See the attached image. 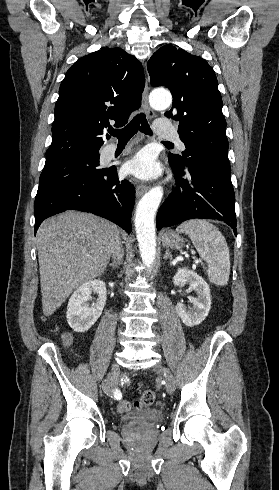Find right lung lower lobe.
Wrapping results in <instances>:
<instances>
[{
  "mask_svg": "<svg viewBox=\"0 0 279 490\" xmlns=\"http://www.w3.org/2000/svg\"><path fill=\"white\" fill-rule=\"evenodd\" d=\"M135 188L118 179L116 168L94 177L74 178L39 185L35 203V232L46 218L66 210H79L104 217L131 233Z\"/></svg>",
  "mask_w": 279,
  "mask_h": 490,
  "instance_id": "obj_1",
  "label": "right lung lower lobe"
}]
</instances>
